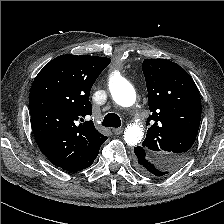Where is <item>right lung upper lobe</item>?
I'll return each instance as SVG.
<instances>
[{
	"label": "right lung upper lobe",
	"instance_id": "1",
	"mask_svg": "<svg viewBox=\"0 0 224 224\" xmlns=\"http://www.w3.org/2000/svg\"><path fill=\"white\" fill-rule=\"evenodd\" d=\"M111 59L61 55L38 73L29 94L32 130L49 161L76 172L89 167L108 137L92 121L90 90Z\"/></svg>",
	"mask_w": 224,
	"mask_h": 224
}]
</instances>
